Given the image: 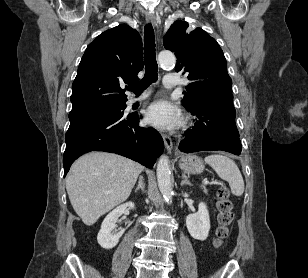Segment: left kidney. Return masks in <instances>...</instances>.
<instances>
[{
  "label": "left kidney",
  "instance_id": "obj_1",
  "mask_svg": "<svg viewBox=\"0 0 308 278\" xmlns=\"http://www.w3.org/2000/svg\"><path fill=\"white\" fill-rule=\"evenodd\" d=\"M186 226L194 239L200 241L207 239L210 230V217L205 203L199 204L197 213L187 216Z\"/></svg>",
  "mask_w": 308,
  "mask_h": 278
}]
</instances>
